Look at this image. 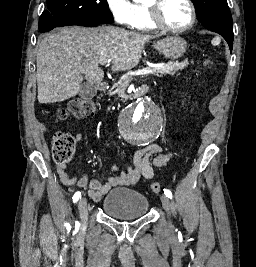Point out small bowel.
<instances>
[{
  "instance_id": "c3829d8e",
  "label": "small bowel",
  "mask_w": 256,
  "mask_h": 267,
  "mask_svg": "<svg viewBox=\"0 0 256 267\" xmlns=\"http://www.w3.org/2000/svg\"><path fill=\"white\" fill-rule=\"evenodd\" d=\"M76 141H80L82 136L76 135ZM173 157V153L164 152L160 144L150 143L139 148L133 157V164L119 171L117 166H112L111 170L115 174L108 177L105 182L99 180H89L85 174L80 177L70 176L66 171L65 163H58L57 174L61 182L67 187H77L78 189L88 188V195L94 201H100L111 189L123 185H136L141 179H151L154 176V167L165 166Z\"/></svg>"
}]
</instances>
